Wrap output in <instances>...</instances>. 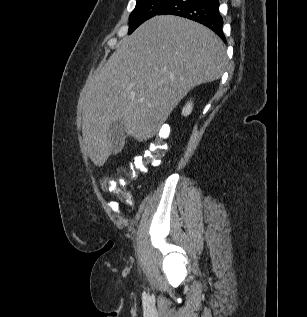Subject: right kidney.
<instances>
[{
    "label": "right kidney",
    "instance_id": "right-kidney-1",
    "mask_svg": "<svg viewBox=\"0 0 307 317\" xmlns=\"http://www.w3.org/2000/svg\"><path fill=\"white\" fill-rule=\"evenodd\" d=\"M193 109V103L190 101L188 102L185 107L182 109V115L187 116L192 112Z\"/></svg>",
    "mask_w": 307,
    "mask_h": 317
}]
</instances>
